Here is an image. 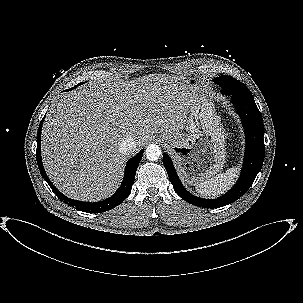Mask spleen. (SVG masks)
<instances>
[{"mask_svg":"<svg viewBox=\"0 0 303 303\" xmlns=\"http://www.w3.org/2000/svg\"><path fill=\"white\" fill-rule=\"evenodd\" d=\"M238 174V168L232 167L196 185V191L205 197H216L226 191Z\"/></svg>","mask_w":303,"mask_h":303,"instance_id":"obj_1","label":"spleen"}]
</instances>
